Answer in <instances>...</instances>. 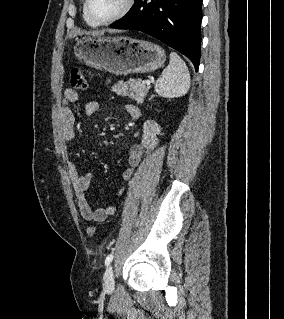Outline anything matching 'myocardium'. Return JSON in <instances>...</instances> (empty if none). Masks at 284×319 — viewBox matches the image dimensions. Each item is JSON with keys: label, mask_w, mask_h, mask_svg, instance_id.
<instances>
[{"label": "myocardium", "mask_w": 284, "mask_h": 319, "mask_svg": "<svg viewBox=\"0 0 284 319\" xmlns=\"http://www.w3.org/2000/svg\"><path fill=\"white\" fill-rule=\"evenodd\" d=\"M89 3H90V0H84L83 11H84L86 18L92 24H94L96 26H105V25H110V24L124 18L132 9V7L134 5V0H124L123 5H122L121 9L118 11V13H116L114 16H112L111 18H109L107 20L95 19L89 11Z\"/></svg>", "instance_id": "obj_1"}]
</instances>
